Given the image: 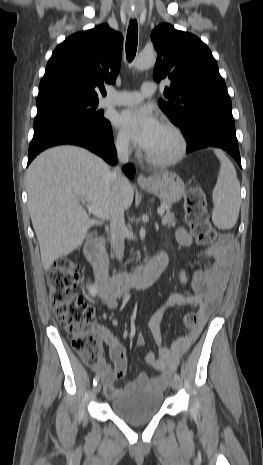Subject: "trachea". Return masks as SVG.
<instances>
[{
  "instance_id": "3493384b",
  "label": "trachea",
  "mask_w": 263,
  "mask_h": 465,
  "mask_svg": "<svg viewBox=\"0 0 263 465\" xmlns=\"http://www.w3.org/2000/svg\"><path fill=\"white\" fill-rule=\"evenodd\" d=\"M138 44V24L136 20H130L126 37V57L131 62L137 51Z\"/></svg>"
}]
</instances>
